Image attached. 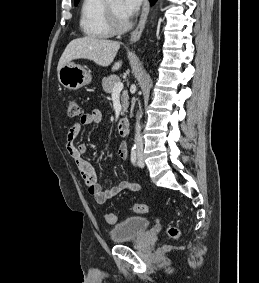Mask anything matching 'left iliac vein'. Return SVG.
<instances>
[{
    "label": "left iliac vein",
    "instance_id": "1",
    "mask_svg": "<svg viewBox=\"0 0 259 283\" xmlns=\"http://www.w3.org/2000/svg\"><path fill=\"white\" fill-rule=\"evenodd\" d=\"M138 165H139L141 168L144 167V162H143V159H142L141 154H139V156H138Z\"/></svg>",
    "mask_w": 259,
    "mask_h": 283
}]
</instances>
